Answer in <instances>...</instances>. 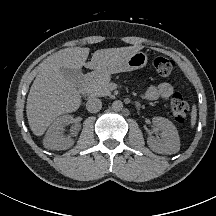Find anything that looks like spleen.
<instances>
[{"label": "spleen", "mask_w": 216, "mask_h": 216, "mask_svg": "<svg viewBox=\"0 0 216 216\" xmlns=\"http://www.w3.org/2000/svg\"><path fill=\"white\" fill-rule=\"evenodd\" d=\"M196 116H197L196 106L194 105L191 112V127H194L196 123Z\"/></svg>", "instance_id": "obj_1"}]
</instances>
